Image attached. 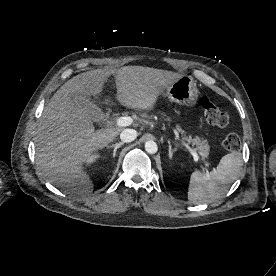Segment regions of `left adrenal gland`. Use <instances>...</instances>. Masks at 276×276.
<instances>
[{"instance_id":"obj_1","label":"left adrenal gland","mask_w":276,"mask_h":276,"mask_svg":"<svg viewBox=\"0 0 276 276\" xmlns=\"http://www.w3.org/2000/svg\"><path fill=\"white\" fill-rule=\"evenodd\" d=\"M168 144H169V158L172 159L173 153L176 152L177 149L176 148L172 149L170 141H168Z\"/></svg>"}]
</instances>
